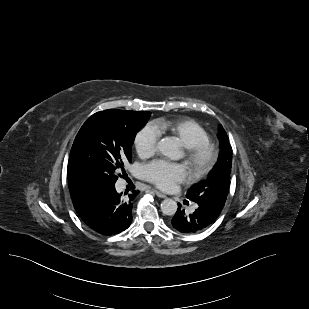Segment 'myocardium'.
Masks as SVG:
<instances>
[{"instance_id": "1", "label": "myocardium", "mask_w": 309, "mask_h": 309, "mask_svg": "<svg viewBox=\"0 0 309 309\" xmlns=\"http://www.w3.org/2000/svg\"><path fill=\"white\" fill-rule=\"evenodd\" d=\"M185 148L193 178H200L213 169L218 159V151L214 144L209 141L198 142Z\"/></svg>"}]
</instances>
